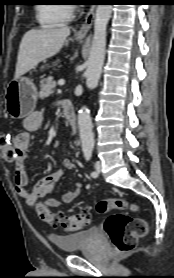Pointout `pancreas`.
I'll return each mask as SVG.
<instances>
[{
	"label": "pancreas",
	"instance_id": "pancreas-1",
	"mask_svg": "<svg viewBox=\"0 0 174 278\" xmlns=\"http://www.w3.org/2000/svg\"><path fill=\"white\" fill-rule=\"evenodd\" d=\"M56 82L52 78L45 79L41 82L39 97L44 99L54 92Z\"/></svg>",
	"mask_w": 174,
	"mask_h": 278
}]
</instances>
